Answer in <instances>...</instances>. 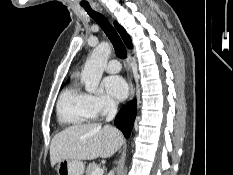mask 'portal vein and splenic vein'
Masks as SVG:
<instances>
[{
  "label": "portal vein and splenic vein",
  "instance_id": "portal-vein-and-splenic-vein-1",
  "mask_svg": "<svg viewBox=\"0 0 233 175\" xmlns=\"http://www.w3.org/2000/svg\"><path fill=\"white\" fill-rule=\"evenodd\" d=\"M104 170L102 168H97L94 170L92 175H103Z\"/></svg>",
  "mask_w": 233,
  "mask_h": 175
}]
</instances>
